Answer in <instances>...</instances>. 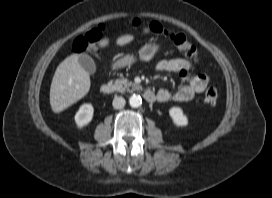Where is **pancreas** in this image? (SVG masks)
I'll use <instances>...</instances> for the list:
<instances>
[{"label":"pancreas","instance_id":"pancreas-1","mask_svg":"<svg viewBox=\"0 0 272 198\" xmlns=\"http://www.w3.org/2000/svg\"><path fill=\"white\" fill-rule=\"evenodd\" d=\"M114 86H115L116 90L121 92V93H124L125 91H131L130 87H132V90L141 89V86L139 84L128 81L125 78L116 80L115 83H114Z\"/></svg>","mask_w":272,"mask_h":198}]
</instances>
